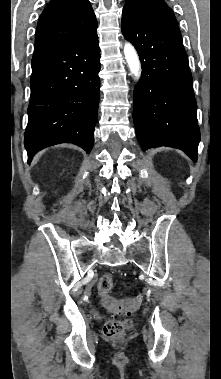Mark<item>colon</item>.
Returning a JSON list of instances; mask_svg holds the SVG:
<instances>
[{"instance_id":"1","label":"colon","mask_w":221,"mask_h":379,"mask_svg":"<svg viewBox=\"0 0 221 379\" xmlns=\"http://www.w3.org/2000/svg\"><path fill=\"white\" fill-rule=\"evenodd\" d=\"M112 288L113 275L111 273L102 275L98 282L100 302L110 314L129 316L138 308L140 304V298L138 296L116 299L110 293ZM131 325L132 321L130 318L125 320H109L103 327L104 336L108 339L121 338Z\"/></svg>"}]
</instances>
